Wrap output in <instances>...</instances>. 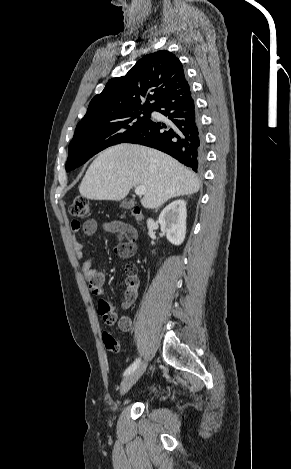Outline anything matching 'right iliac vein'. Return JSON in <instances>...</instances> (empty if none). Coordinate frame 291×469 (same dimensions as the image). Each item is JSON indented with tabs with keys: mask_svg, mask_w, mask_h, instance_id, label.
<instances>
[{
	"mask_svg": "<svg viewBox=\"0 0 291 469\" xmlns=\"http://www.w3.org/2000/svg\"><path fill=\"white\" fill-rule=\"evenodd\" d=\"M147 364L142 363L136 370L128 374L121 382L120 394H126L130 388L137 382L146 369Z\"/></svg>",
	"mask_w": 291,
	"mask_h": 469,
	"instance_id": "63e3f726",
	"label": "right iliac vein"
}]
</instances>
